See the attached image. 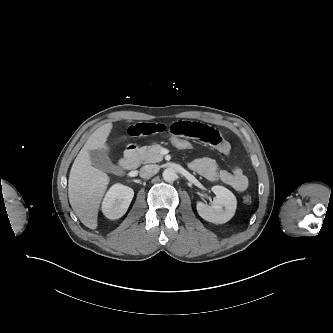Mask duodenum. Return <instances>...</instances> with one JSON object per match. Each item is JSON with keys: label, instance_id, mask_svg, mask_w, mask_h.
<instances>
[{"label": "duodenum", "instance_id": "1", "mask_svg": "<svg viewBox=\"0 0 333 333\" xmlns=\"http://www.w3.org/2000/svg\"><path fill=\"white\" fill-rule=\"evenodd\" d=\"M120 167L131 171L137 168L139 164L138 149L136 145H130L124 154V157L119 162Z\"/></svg>", "mask_w": 333, "mask_h": 333}]
</instances>
